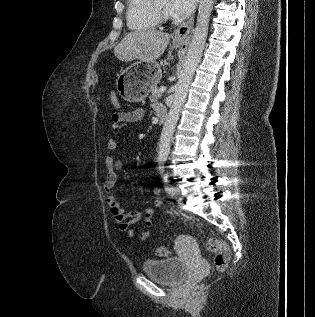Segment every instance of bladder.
<instances>
[{
    "label": "bladder",
    "mask_w": 315,
    "mask_h": 317,
    "mask_svg": "<svg viewBox=\"0 0 315 317\" xmlns=\"http://www.w3.org/2000/svg\"><path fill=\"white\" fill-rule=\"evenodd\" d=\"M142 269L147 276L169 286L180 284L187 275V265L178 257L146 260Z\"/></svg>",
    "instance_id": "obj_1"
}]
</instances>
